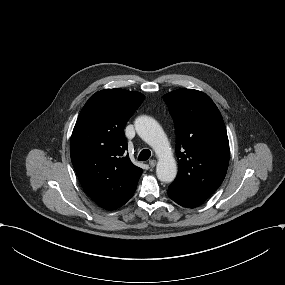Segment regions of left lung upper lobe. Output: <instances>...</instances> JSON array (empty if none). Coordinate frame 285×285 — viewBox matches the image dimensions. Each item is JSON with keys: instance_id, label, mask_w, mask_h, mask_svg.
I'll return each mask as SVG.
<instances>
[{"instance_id": "left-lung-upper-lobe-1", "label": "left lung upper lobe", "mask_w": 285, "mask_h": 285, "mask_svg": "<svg viewBox=\"0 0 285 285\" xmlns=\"http://www.w3.org/2000/svg\"><path fill=\"white\" fill-rule=\"evenodd\" d=\"M174 120L178 175L172 184L206 200L221 185L229 141L221 113L203 92L178 89L163 96Z\"/></svg>"}]
</instances>
